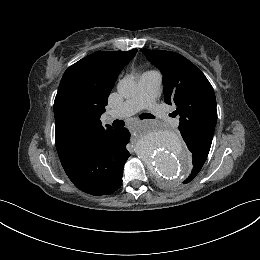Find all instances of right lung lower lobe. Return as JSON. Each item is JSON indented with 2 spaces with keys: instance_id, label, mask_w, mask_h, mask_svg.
Returning <instances> with one entry per match:
<instances>
[{
  "instance_id": "98d812e1",
  "label": "right lung lower lobe",
  "mask_w": 260,
  "mask_h": 260,
  "mask_svg": "<svg viewBox=\"0 0 260 260\" xmlns=\"http://www.w3.org/2000/svg\"><path fill=\"white\" fill-rule=\"evenodd\" d=\"M129 139L128 129L113 130L88 140L61 159V164L81 191L94 196L112 194L122 183Z\"/></svg>"
}]
</instances>
